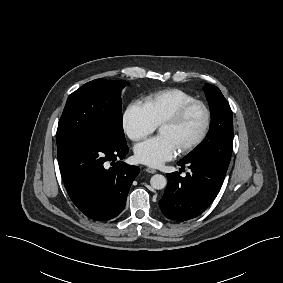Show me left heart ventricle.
Instances as JSON below:
<instances>
[{"label":"left heart ventricle","instance_id":"b2bd125f","mask_svg":"<svg viewBox=\"0 0 283 283\" xmlns=\"http://www.w3.org/2000/svg\"><path fill=\"white\" fill-rule=\"evenodd\" d=\"M204 125V113L201 108H194L179 126L164 125L159 127V135L170 139L177 150L193 141Z\"/></svg>","mask_w":283,"mask_h":283}]
</instances>
